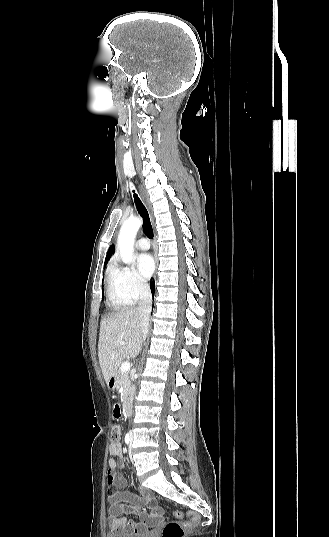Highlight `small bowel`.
Here are the masks:
<instances>
[{"label": "small bowel", "mask_w": 329, "mask_h": 537, "mask_svg": "<svg viewBox=\"0 0 329 537\" xmlns=\"http://www.w3.org/2000/svg\"><path fill=\"white\" fill-rule=\"evenodd\" d=\"M112 412L115 422H122V404L120 402L113 404ZM109 452L112 457L123 458L122 446L118 442L110 444ZM118 467L119 464L114 458L108 461L109 527L114 531L125 533H145L161 523L162 509L154 502L152 495L146 488H141V496L122 491L121 489L125 488L128 482L118 472ZM126 516H136L138 520L129 521Z\"/></svg>", "instance_id": "obj_1"}]
</instances>
